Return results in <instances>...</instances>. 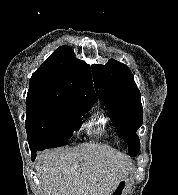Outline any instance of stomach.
Instances as JSON below:
<instances>
[{
	"label": "stomach",
	"mask_w": 178,
	"mask_h": 195,
	"mask_svg": "<svg viewBox=\"0 0 178 195\" xmlns=\"http://www.w3.org/2000/svg\"><path fill=\"white\" fill-rule=\"evenodd\" d=\"M119 187L117 185L116 189L114 190V192L112 194H115L118 191Z\"/></svg>",
	"instance_id": "1"
}]
</instances>
